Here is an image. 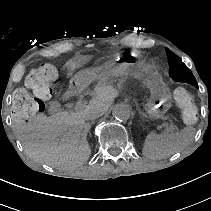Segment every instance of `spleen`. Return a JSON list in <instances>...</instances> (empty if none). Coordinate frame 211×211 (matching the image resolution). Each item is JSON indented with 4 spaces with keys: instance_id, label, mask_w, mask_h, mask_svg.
<instances>
[{
    "instance_id": "obj_1",
    "label": "spleen",
    "mask_w": 211,
    "mask_h": 211,
    "mask_svg": "<svg viewBox=\"0 0 211 211\" xmlns=\"http://www.w3.org/2000/svg\"><path fill=\"white\" fill-rule=\"evenodd\" d=\"M195 133L194 127H185L171 134H157L155 131H150L144 139L142 153L156 160L169 157L187 147L193 141Z\"/></svg>"
}]
</instances>
